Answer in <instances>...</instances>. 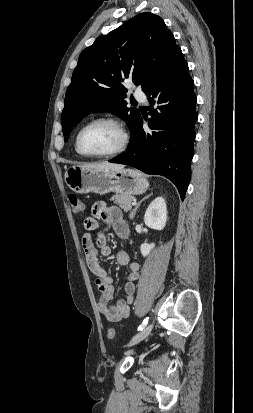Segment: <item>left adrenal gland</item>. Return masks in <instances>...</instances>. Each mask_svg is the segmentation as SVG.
<instances>
[{
  "mask_svg": "<svg viewBox=\"0 0 253 413\" xmlns=\"http://www.w3.org/2000/svg\"><path fill=\"white\" fill-rule=\"evenodd\" d=\"M151 195H153V193H150L149 195L145 196L142 200H140V201L138 202V204L135 206L134 210L130 213V218H131V219L134 218V216H135V214H136V211H137V209L139 208L140 204H141L145 199L149 198Z\"/></svg>",
  "mask_w": 253,
  "mask_h": 413,
  "instance_id": "a2214340",
  "label": "left adrenal gland"
}]
</instances>
